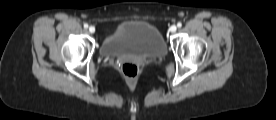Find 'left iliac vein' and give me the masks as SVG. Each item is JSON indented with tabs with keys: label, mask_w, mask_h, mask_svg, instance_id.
<instances>
[{
	"label": "left iliac vein",
	"mask_w": 276,
	"mask_h": 120,
	"mask_svg": "<svg viewBox=\"0 0 276 120\" xmlns=\"http://www.w3.org/2000/svg\"><path fill=\"white\" fill-rule=\"evenodd\" d=\"M177 30V27L175 26V25H172L171 27H170V31L171 32H175Z\"/></svg>",
	"instance_id": "obj_1"
}]
</instances>
